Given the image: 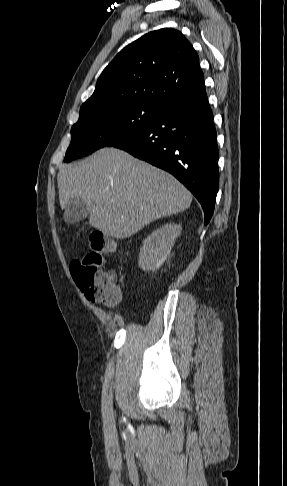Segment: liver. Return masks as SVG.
Listing matches in <instances>:
<instances>
[{"label": "liver", "instance_id": "1", "mask_svg": "<svg viewBox=\"0 0 287 486\" xmlns=\"http://www.w3.org/2000/svg\"><path fill=\"white\" fill-rule=\"evenodd\" d=\"M59 201L81 197L89 224L116 239L188 209L191 193L172 175L116 148H103L78 164L61 165Z\"/></svg>", "mask_w": 287, "mask_h": 486}]
</instances>
